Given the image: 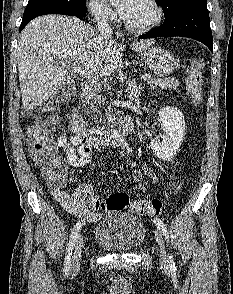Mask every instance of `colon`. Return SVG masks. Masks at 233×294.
Segmentation results:
<instances>
[{
	"mask_svg": "<svg viewBox=\"0 0 233 294\" xmlns=\"http://www.w3.org/2000/svg\"><path fill=\"white\" fill-rule=\"evenodd\" d=\"M203 68L204 61L195 58L188 70L186 85L191 101L199 105L203 98ZM49 122H37L27 130L26 142L28 151L33 162L47 176L50 183L55 187L65 185V166L63 158L56 154L57 146L50 134ZM91 206L94 209L121 210L128 208L130 211L148 216H157L162 210V202L157 199L139 200L131 202L126 193H114L106 200H93Z\"/></svg>",
	"mask_w": 233,
	"mask_h": 294,
	"instance_id": "5ec220e1",
	"label": "colon"
}]
</instances>
